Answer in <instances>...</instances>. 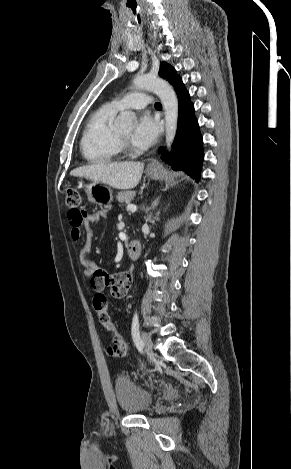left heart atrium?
Instances as JSON below:
<instances>
[{"mask_svg":"<svg viewBox=\"0 0 291 469\" xmlns=\"http://www.w3.org/2000/svg\"><path fill=\"white\" fill-rule=\"evenodd\" d=\"M159 134V124L151 115L142 114L134 127L131 134V141L134 145L146 148L151 146L157 139Z\"/></svg>","mask_w":291,"mask_h":469,"instance_id":"obj_1","label":"left heart atrium"}]
</instances>
